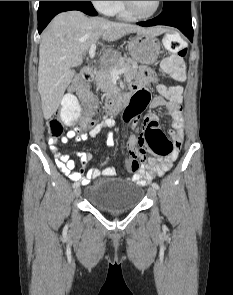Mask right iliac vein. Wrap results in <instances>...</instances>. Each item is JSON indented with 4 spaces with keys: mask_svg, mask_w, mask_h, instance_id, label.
<instances>
[{
    "mask_svg": "<svg viewBox=\"0 0 233 295\" xmlns=\"http://www.w3.org/2000/svg\"><path fill=\"white\" fill-rule=\"evenodd\" d=\"M80 194H81L80 183L77 182V186H76L75 189H74V195H75L76 197H78Z\"/></svg>",
    "mask_w": 233,
    "mask_h": 295,
    "instance_id": "1",
    "label": "right iliac vein"
}]
</instances>
